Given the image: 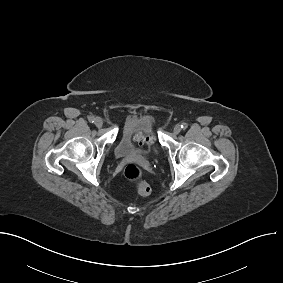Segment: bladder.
Masks as SVG:
<instances>
[{
    "instance_id": "obj_1",
    "label": "bladder",
    "mask_w": 283,
    "mask_h": 283,
    "mask_svg": "<svg viewBox=\"0 0 283 283\" xmlns=\"http://www.w3.org/2000/svg\"><path fill=\"white\" fill-rule=\"evenodd\" d=\"M148 138V146L142 148L135 142L137 136ZM157 153V137L147 117H136L125 126L116 146L115 155L119 158H140Z\"/></svg>"
}]
</instances>
